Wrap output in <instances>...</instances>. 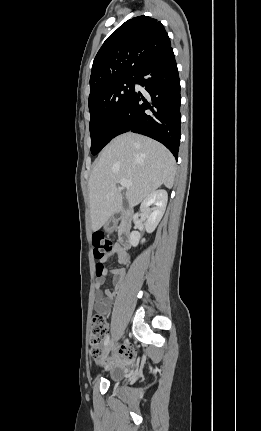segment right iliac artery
<instances>
[{"label": "right iliac artery", "mask_w": 261, "mask_h": 431, "mask_svg": "<svg viewBox=\"0 0 261 431\" xmlns=\"http://www.w3.org/2000/svg\"><path fill=\"white\" fill-rule=\"evenodd\" d=\"M109 338V335H107L104 341V346H107V344L109 343Z\"/></svg>", "instance_id": "82829eb1"}]
</instances>
